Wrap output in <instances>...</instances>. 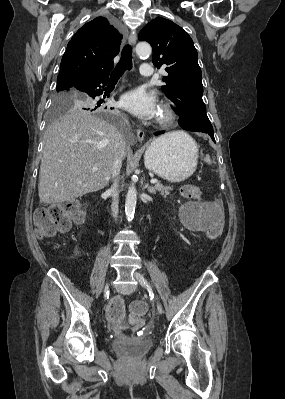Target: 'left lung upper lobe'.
Returning a JSON list of instances; mask_svg holds the SVG:
<instances>
[{
	"label": "left lung upper lobe",
	"mask_w": 285,
	"mask_h": 399,
	"mask_svg": "<svg viewBox=\"0 0 285 399\" xmlns=\"http://www.w3.org/2000/svg\"><path fill=\"white\" fill-rule=\"evenodd\" d=\"M140 41H147L153 49L152 62L166 67L168 73L162 90L174 103L180 126L188 131L214 135L202 100V74L198 54L191 37L171 20L157 17L139 33Z\"/></svg>",
	"instance_id": "1"
}]
</instances>
